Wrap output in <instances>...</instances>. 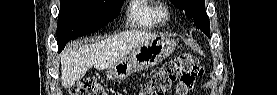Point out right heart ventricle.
<instances>
[{
    "mask_svg": "<svg viewBox=\"0 0 277 95\" xmlns=\"http://www.w3.org/2000/svg\"><path fill=\"white\" fill-rule=\"evenodd\" d=\"M154 1L131 0L128 9V22L132 28L144 29L155 26L156 22L152 16Z\"/></svg>",
    "mask_w": 277,
    "mask_h": 95,
    "instance_id": "right-heart-ventricle-1",
    "label": "right heart ventricle"
}]
</instances>
